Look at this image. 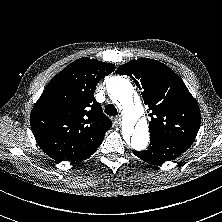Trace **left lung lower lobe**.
Here are the masks:
<instances>
[{
    "mask_svg": "<svg viewBox=\"0 0 222 222\" xmlns=\"http://www.w3.org/2000/svg\"><path fill=\"white\" fill-rule=\"evenodd\" d=\"M191 144V141L185 139L153 136L151 137L147 150L140 152L133 151V153L145 162L158 165L176 159L184 153Z\"/></svg>",
    "mask_w": 222,
    "mask_h": 222,
    "instance_id": "0a47b994",
    "label": "left lung lower lobe"
}]
</instances>
